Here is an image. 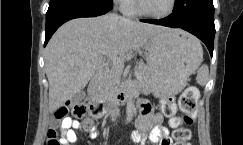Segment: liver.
Listing matches in <instances>:
<instances>
[{"mask_svg":"<svg viewBox=\"0 0 243 145\" xmlns=\"http://www.w3.org/2000/svg\"><path fill=\"white\" fill-rule=\"evenodd\" d=\"M166 30L114 14L73 19L62 25L45 50L49 110H57L84 89L104 56H124Z\"/></svg>","mask_w":243,"mask_h":145,"instance_id":"1","label":"liver"}]
</instances>
